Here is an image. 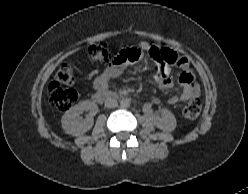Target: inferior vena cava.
Instances as JSON below:
<instances>
[{"label": "inferior vena cava", "instance_id": "inferior-vena-cava-1", "mask_svg": "<svg viewBox=\"0 0 248 194\" xmlns=\"http://www.w3.org/2000/svg\"><path fill=\"white\" fill-rule=\"evenodd\" d=\"M117 106H118L117 100L112 99V98L106 99V101H105V107L106 108H115Z\"/></svg>", "mask_w": 248, "mask_h": 194}]
</instances>
